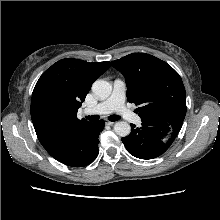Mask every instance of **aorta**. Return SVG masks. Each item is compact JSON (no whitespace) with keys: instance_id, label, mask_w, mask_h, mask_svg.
<instances>
[{"instance_id":"aorta-1","label":"aorta","mask_w":220,"mask_h":220,"mask_svg":"<svg viewBox=\"0 0 220 220\" xmlns=\"http://www.w3.org/2000/svg\"><path fill=\"white\" fill-rule=\"evenodd\" d=\"M92 91L98 98L106 99L112 92V85L105 80H96ZM114 132L120 137H126L131 132V126L125 121H119L114 125Z\"/></svg>"}]
</instances>
